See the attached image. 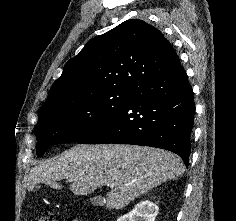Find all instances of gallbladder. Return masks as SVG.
Wrapping results in <instances>:
<instances>
[{
  "label": "gallbladder",
  "mask_w": 236,
  "mask_h": 221,
  "mask_svg": "<svg viewBox=\"0 0 236 221\" xmlns=\"http://www.w3.org/2000/svg\"><path fill=\"white\" fill-rule=\"evenodd\" d=\"M91 202L94 204V205H102L103 204V200L101 197H93L91 199Z\"/></svg>",
  "instance_id": "obj_1"
}]
</instances>
